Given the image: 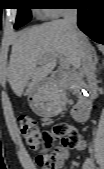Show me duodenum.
<instances>
[{"instance_id":"1","label":"duodenum","mask_w":104,"mask_h":169,"mask_svg":"<svg viewBox=\"0 0 104 169\" xmlns=\"http://www.w3.org/2000/svg\"><path fill=\"white\" fill-rule=\"evenodd\" d=\"M60 76V75H59ZM89 101L82 98L73 109V117L76 122L83 123L89 118Z\"/></svg>"}]
</instances>
